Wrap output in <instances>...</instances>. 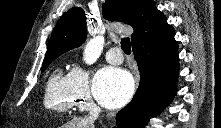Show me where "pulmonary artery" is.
<instances>
[{"instance_id":"pulmonary-artery-1","label":"pulmonary artery","mask_w":221,"mask_h":128,"mask_svg":"<svg viewBox=\"0 0 221 128\" xmlns=\"http://www.w3.org/2000/svg\"><path fill=\"white\" fill-rule=\"evenodd\" d=\"M106 61L112 65H120L123 62L122 51L118 47L110 48L106 55Z\"/></svg>"}]
</instances>
